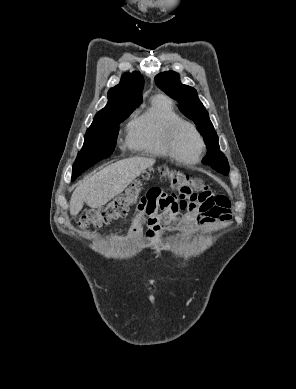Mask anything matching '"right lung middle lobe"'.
Listing matches in <instances>:
<instances>
[{
	"mask_svg": "<svg viewBox=\"0 0 296 389\" xmlns=\"http://www.w3.org/2000/svg\"><path fill=\"white\" fill-rule=\"evenodd\" d=\"M136 107L123 108L104 117L94 119L85 134L82 150L78 153L73 168L94 165L109 157L115 149L119 124L127 118Z\"/></svg>",
	"mask_w": 296,
	"mask_h": 389,
	"instance_id": "1",
	"label": "right lung middle lobe"
}]
</instances>
